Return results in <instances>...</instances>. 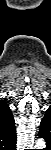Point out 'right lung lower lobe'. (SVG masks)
<instances>
[{"instance_id": "1", "label": "right lung lower lobe", "mask_w": 51, "mask_h": 150, "mask_svg": "<svg viewBox=\"0 0 51 150\" xmlns=\"http://www.w3.org/2000/svg\"><path fill=\"white\" fill-rule=\"evenodd\" d=\"M12 150H16V146L12 148Z\"/></svg>"}]
</instances>
